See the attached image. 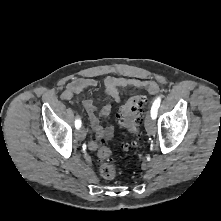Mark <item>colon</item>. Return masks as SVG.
I'll return each instance as SVG.
<instances>
[{
	"mask_svg": "<svg viewBox=\"0 0 221 221\" xmlns=\"http://www.w3.org/2000/svg\"><path fill=\"white\" fill-rule=\"evenodd\" d=\"M146 102L147 97L145 95L140 94L131 97L118 115L120 124L130 132H135L141 119ZM139 146L140 145L138 140H132L124 144V148L127 150L138 149ZM98 157L102 162L99 170L101 177L105 180H114L117 177V170L115 166L110 162V149L103 143L100 144V147L98 149Z\"/></svg>",
	"mask_w": 221,
	"mask_h": 221,
	"instance_id": "5ec220e1",
	"label": "colon"
}]
</instances>
